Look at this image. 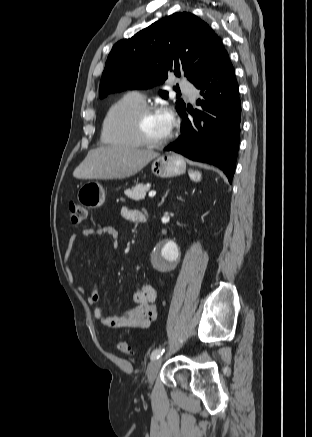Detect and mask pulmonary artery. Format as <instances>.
<instances>
[{
	"mask_svg": "<svg viewBox=\"0 0 312 437\" xmlns=\"http://www.w3.org/2000/svg\"><path fill=\"white\" fill-rule=\"evenodd\" d=\"M179 85H180L181 89H183L185 91V93L190 97V99L192 101H194V99H195V97L197 95V90L194 87H192L191 85H189L186 82H184V81H180ZM134 95L137 98H139L141 101L144 100V97L141 94L134 93Z\"/></svg>",
	"mask_w": 312,
	"mask_h": 437,
	"instance_id": "pulmonary-artery-1",
	"label": "pulmonary artery"
}]
</instances>
